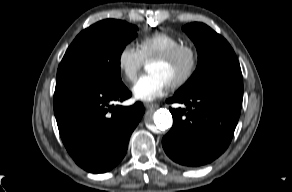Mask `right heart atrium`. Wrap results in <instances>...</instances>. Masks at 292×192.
Here are the masks:
<instances>
[{
  "label": "right heart atrium",
  "instance_id": "right-heart-atrium-1",
  "mask_svg": "<svg viewBox=\"0 0 292 192\" xmlns=\"http://www.w3.org/2000/svg\"><path fill=\"white\" fill-rule=\"evenodd\" d=\"M144 60L137 48L131 44H125L117 55V66L123 77L134 82L142 68Z\"/></svg>",
  "mask_w": 292,
  "mask_h": 192
}]
</instances>
